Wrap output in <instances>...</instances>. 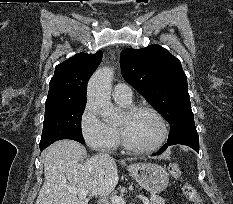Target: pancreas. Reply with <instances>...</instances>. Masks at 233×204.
<instances>
[{
	"instance_id": "1",
	"label": "pancreas",
	"mask_w": 233,
	"mask_h": 204,
	"mask_svg": "<svg viewBox=\"0 0 233 204\" xmlns=\"http://www.w3.org/2000/svg\"><path fill=\"white\" fill-rule=\"evenodd\" d=\"M151 203L150 204H165V199L159 197L155 194L151 195Z\"/></svg>"
}]
</instances>
